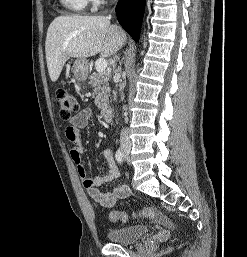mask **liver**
I'll return each instance as SVG.
<instances>
[{
	"label": "liver",
	"instance_id": "1",
	"mask_svg": "<svg viewBox=\"0 0 247 257\" xmlns=\"http://www.w3.org/2000/svg\"><path fill=\"white\" fill-rule=\"evenodd\" d=\"M123 29L105 16H58L48 27L45 52L49 76L56 82L70 57L115 54L126 42Z\"/></svg>",
	"mask_w": 247,
	"mask_h": 257
}]
</instances>
